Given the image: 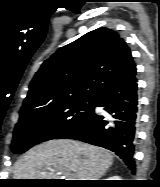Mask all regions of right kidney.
Listing matches in <instances>:
<instances>
[{
    "instance_id": "ca27d5eb",
    "label": "right kidney",
    "mask_w": 160,
    "mask_h": 187,
    "mask_svg": "<svg viewBox=\"0 0 160 187\" xmlns=\"http://www.w3.org/2000/svg\"><path fill=\"white\" fill-rule=\"evenodd\" d=\"M106 180H120L119 176H112L111 178H108Z\"/></svg>"
}]
</instances>
